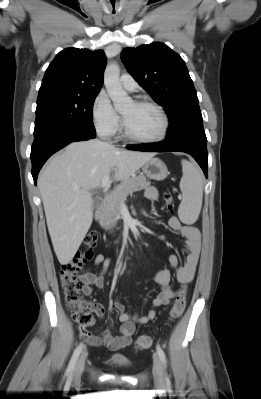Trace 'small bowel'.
Segmentation results:
<instances>
[{
    "mask_svg": "<svg viewBox=\"0 0 261 399\" xmlns=\"http://www.w3.org/2000/svg\"><path fill=\"white\" fill-rule=\"evenodd\" d=\"M144 196L148 200H156L158 197L157 190L154 187H147L144 190ZM169 226L171 229L179 232L186 242L187 256L185 262L179 265V259L176 255L169 257L170 266L175 269L177 281L181 287L179 292H184L187 285L193 280L196 267L199 261L201 252V234L199 230L193 225H186L181 223L177 216H172L169 219ZM111 263V259L99 253L94 258V265L101 267L99 272H92L90 270L84 271L80 275L82 283V292L85 296L92 294L94 288H101L104 284V275L107 272ZM154 280L161 286V291L152 302V309L145 315L128 314L125 311V305L120 301L114 302V309L119 314V321L121 323L120 335H114L109 331H104L101 335H94L87 330L80 331L82 337L92 346H105L112 351H119L129 346L132 336L135 331L136 323L145 324L155 318L154 308L167 305L170 300L177 294L170 285L171 272L168 269L160 270L156 273ZM92 310L99 316H104V308L97 303H90Z\"/></svg>",
    "mask_w": 261,
    "mask_h": 399,
    "instance_id": "c3829d8e",
    "label": "small bowel"
}]
</instances>
